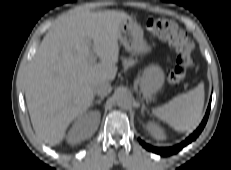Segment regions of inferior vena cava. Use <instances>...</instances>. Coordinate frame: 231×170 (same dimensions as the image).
<instances>
[{"instance_id": "obj_1", "label": "inferior vena cava", "mask_w": 231, "mask_h": 170, "mask_svg": "<svg viewBox=\"0 0 231 170\" xmlns=\"http://www.w3.org/2000/svg\"><path fill=\"white\" fill-rule=\"evenodd\" d=\"M94 94L104 97L112 91V87L108 82L100 81L93 88Z\"/></svg>"}]
</instances>
